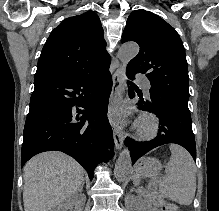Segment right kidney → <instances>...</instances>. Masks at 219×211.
<instances>
[{
    "instance_id": "right-kidney-1",
    "label": "right kidney",
    "mask_w": 219,
    "mask_h": 211,
    "mask_svg": "<svg viewBox=\"0 0 219 211\" xmlns=\"http://www.w3.org/2000/svg\"><path fill=\"white\" fill-rule=\"evenodd\" d=\"M76 197H71V199H66L65 203H61V205H57L56 209L54 211H67L69 209L70 205H73L75 203L77 209L80 207L79 201H74ZM85 199H82V205L84 203ZM73 211H76V209H73Z\"/></svg>"
}]
</instances>
